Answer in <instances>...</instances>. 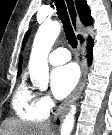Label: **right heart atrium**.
I'll return each mask as SVG.
<instances>
[{"label": "right heart atrium", "instance_id": "1", "mask_svg": "<svg viewBox=\"0 0 112 135\" xmlns=\"http://www.w3.org/2000/svg\"><path fill=\"white\" fill-rule=\"evenodd\" d=\"M39 101H40L41 106L47 111H49L54 105L53 99L47 93H42L39 96Z\"/></svg>", "mask_w": 112, "mask_h": 135}]
</instances>
